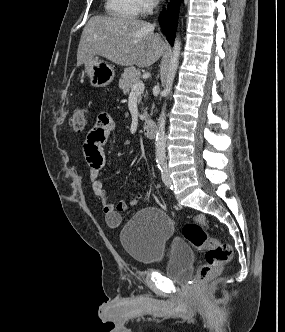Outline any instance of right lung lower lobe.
<instances>
[{
	"label": "right lung lower lobe",
	"mask_w": 285,
	"mask_h": 332,
	"mask_svg": "<svg viewBox=\"0 0 285 332\" xmlns=\"http://www.w3.org/2000/svg\"><path fill=\"white\" fill-rule=\"evenodd\" d=\"M180 0H172L167 11L160 13V25L171 45H173L175 31L177 28V18L179 13Z\"/></svg>",
	"instance_id": "98d812e1"
}]
</instances>
